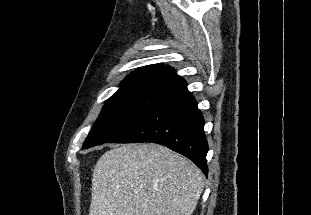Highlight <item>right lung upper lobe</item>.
<instances>
[{"label":"right lung upper lobe","instance_id":"cb5924a9","mask_svg":"<svg viewBox=\"0 0 311 215\" xmlns=\"http://www.w3.org/2000/svg\"><path fill=\"white\" fill-rule=\"evenodd\" d=\"M181 79L174 68L163 64L147 65L130 73L121 83V87L141 85H172Z\"/></svg>","mask_w":311,"mask_h":215}]
</instances>
